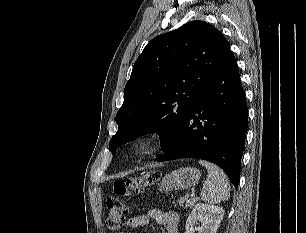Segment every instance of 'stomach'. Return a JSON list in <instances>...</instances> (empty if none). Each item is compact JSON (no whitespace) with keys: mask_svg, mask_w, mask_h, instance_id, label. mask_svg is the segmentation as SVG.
I'll return each instance as SVG.
<instances>
[{"mask_svg":"<svg viewBox=\"0 0 306 233\" xmlns=\"http://www.w3.org/2000/svg\"><path fill=\"white\" fill-rule=\"evenodd\" d=\"M200 176L198 169L184 167L164 176L158 186L161 191L187 189L194 186L200 180Z\"/></svg>","mask_w":306,"mask_h":233,"instance_id":"stomach-1","label":"stomach"}]
</instances>
